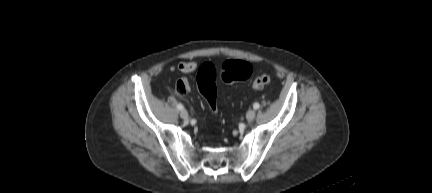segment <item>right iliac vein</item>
Instances as JSON below:
<instances>
[{"label":"right iliac vein","instance_id":"63e3f726","mask_svg":"<svg viewBox=\"0 0 432 193\" xmlns=\"http://www.w3.org/2000/svg\"><path fill=\"white\" fill-rule=\"evenodd\" d=\"M180 117L184 120L188 119V112L186 110H182L180 112Z\"/></svg>","mask_w":432,"mask_h":193}]
</instances>
